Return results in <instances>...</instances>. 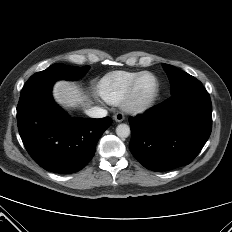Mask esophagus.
Returning a JSON list of instances; mask_svg holds the SVG:
<instances>
[{
  "label": "esophagus",
  "mask_w": 232,
  "mask_h": 232,
  "mask_svg": "<svg viewBox=\"0 0 232 232\" xmlns=\"http://www.w3.org/2000/svg\"><path fill=\"white\" fill-rule=\"evenodd\" d=\"M113 118L116 122H122L125 119L122 113H116Z\"/></svg>",
  "instance_id": "1"
}]
</instances>
